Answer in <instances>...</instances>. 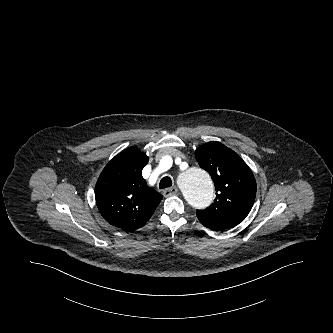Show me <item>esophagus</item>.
I'll return each instance as SVG.
<instances>
[{"label":"esophagus","mask_w":333,"mask_h":333,"mask_svg":"<svg viewBox=\"0 0 333 333\" xmlns=\"http://www.w3.org/2000/svg\"><path fill=\"white\" fill-rule=\"evenodd\" d=\"M178 193V189L176 186H173V187H170V188H167L163 191V194L165 196H173V195H176Z\"/></svg>","instance_id":"34e87169"}]
</instances>
